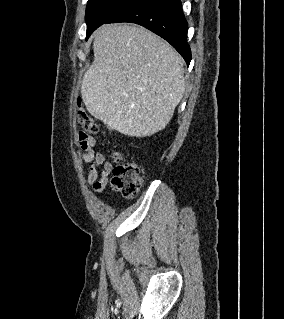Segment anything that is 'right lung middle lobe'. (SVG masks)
Listing matches in <instances>:
<instances>
[{"mask_svg":"<svg viewBox=\"0 0 284 319\" xmlns=\"http://www.w3.org/2000/svg\"><path fill=\"white\" fill-rule=\"evenodd\" d=\"M134 0H88L86 8L87 38L97 27Z\"/></svg>","mask_w":284,"mask_h":319,"instance_id":"obj_1","label":"right lung middle lobe"}]
</instances>
